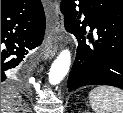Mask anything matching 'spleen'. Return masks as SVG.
I'll return each mask as SVG.
<instances>
[{
    "instance_id": "spleen-1",
    "label": "spleen",
    "mask_w": 123,
    "mask_h": 113,
    "mask_svg": "<svg viewBox=\"0 0 123 113\" xmlns=\"http://www.w3.org/2000/svg\"><path fill=\"white\" fill-rule=\"evenodd\" d=\"M96 113H123V91L112 86H99L88 96Z\"/></svg>"
}]
</instances>
